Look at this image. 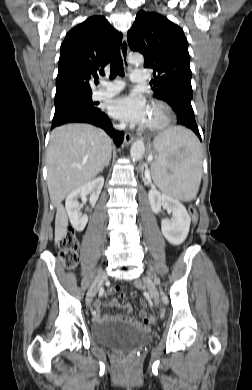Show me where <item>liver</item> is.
<instances>
[{
	"label": "liver",
	"mask_w": 252,
	"mask_h": 390,
	"mask_svg": "<svg viewBox=\"0 0 252 390\" xmlns=\"http://www.w3.org/2000/svg\"><path fill=\"white\" fill-rule=\"evenodd\" d=\"M111 151L110 137L94 126L68 124L52 131L46 163L49 195L57 208L56 244L67 234L68 217L62 201L97 176L111 156Z\"/></svg>",
	"instance_id": "obj_1"
}]
</instances>
